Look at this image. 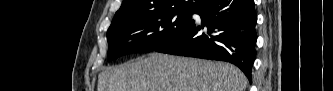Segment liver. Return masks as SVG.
<instances>
[{
    "mask_svg": "<svg viewBox=\"0 0 333 91\" xmlns=\"http://www.w3.org/2000/svg\"><path fill=\"white\" fill-rule=\"evenodd\" d=\"M246 76L224 62L150 53L98 76L97 91H244Z\"/></svg>",
    "mask_w": 333,
    "mask_h": 91,
    "instance_id": "liver-1",
    "label": "liver"
}]
</instances>
